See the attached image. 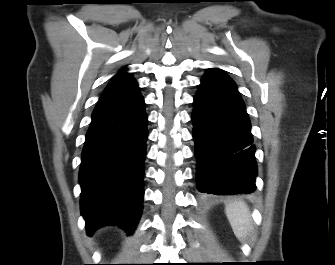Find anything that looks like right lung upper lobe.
<instances>
[{
  "label": "right lung upper lobe",
  "mask_w": 335,
  "mask_h": 265,
  "mask_svg": "<svg viewBox=\"0 0 335 265\" xmlns=\"http://www.w3.org/2000/svg\"><path fill=\"white\" fill-rule=\"evenodd\" d=\"M138 91V83L131 73L121 71L116 74L103 92L101 99L121 97Z\"/></svg>",
  "instance_id": "right-lung-upper-lobe-1"
}]
</instances>
